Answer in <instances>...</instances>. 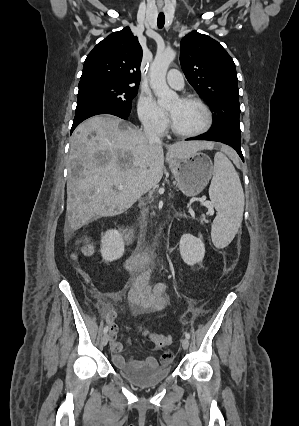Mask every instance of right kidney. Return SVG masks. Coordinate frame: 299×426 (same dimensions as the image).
I'll return each instance as SVG.
<instances>
[{
    "instance_id": "ca27d5eb",
    "label": "right kidney",
    "mask_w": 299,
    "mask_h": 426,
    "mask_svg": "<svg viewBox=\"0 0 299 426\" xmlns=\"http://www.w3.org/2000/svg\"><path fill=\"white\" fill-rule=\"evenodd\" d=\"M101 243V255L105 261L112 262L123 256L124 241L118 230L111 229L106 231Z\"/></svg>"
}]
</instances>
